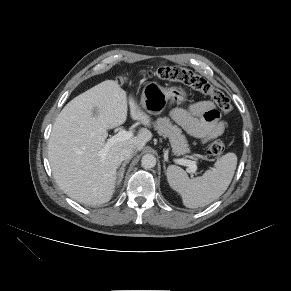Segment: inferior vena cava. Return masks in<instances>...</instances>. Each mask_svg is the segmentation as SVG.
Masks as SVG:
<instances>
[{"label": "inferior vena cava", "mask_w": 291, "mask_h": 291, "mask_svg": "<svg viewBox=\"0 0 291 291\" xmlns=\"http://www.w3.org/2000/svg\"><path fill=\"white\" fill-rule=\"evenodd\" d=\"M137 153V148L133 145H130L124 149H122L120 154L121 160H130Z\"/></svg>", "instance_id": "obj_1"}]
</instances>
